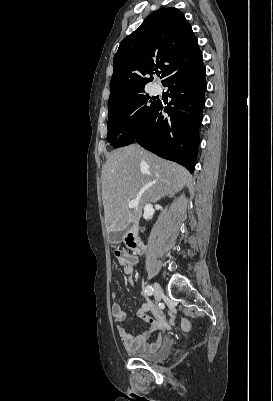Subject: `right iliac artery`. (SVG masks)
Listing matches in <instances>:
<instances>
[{"label":"right iliac artery","mask_w":273,"mask_h":401,"mask_svg":"<svg viewBox=\"0 0 273 401\" xmlns=\"http://www.w3.org/2000/svg\"><path fill=\"white\" fill-rule=\"evenodd\" d=\"M153 290H154V289L152 288V286L148 285V286L146 287V289H145L146 295L151 296L152 293H153Z\"/></svg>","instance_id":"right-iliac-artery-1"}]
</instances>
